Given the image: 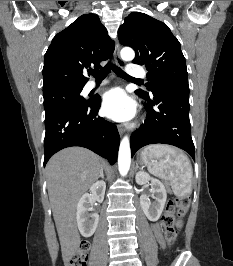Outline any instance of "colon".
<instances>
[{
	"mask_svg": "<svg viewBox=\"0 0 233 266\" xmlns=\"http://www.w3.org/2000/svg\"><path fill=\"white\" fill-rule=\"evenodd\" d=\"M189 205L190 199L187 196L173 197L168 200L162 216V224L165 228V239L169 245L175 241ZM88 250L89 243L82 240L77 251L68 258L66 266H87Z\"/></svg>",
	"mask_w": 233,
	"mask_h": 266,
	"instance_id": "colon-1",
	"label": "colon"
}]
</instances>
